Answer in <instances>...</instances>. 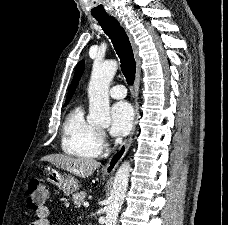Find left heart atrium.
<instances>
[{
  "mask_svg": "<svg viewBox=\"0 0 228 225\" xmlns=\"http://www.w3.org/2000/svg\"><path fill=\"white\" fill-rule=\"evenodd\" d=\"M134 113L125 101L115 103L110 109V132L117 137L126 136L132 127Z\"/></svg>",
  "mask_w": 228,
  "mask_h": 225,
  "instance_id": "left-heart-atrium-1",
  "label": "left heart atrium"
}]
</instances>
